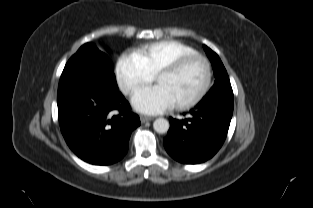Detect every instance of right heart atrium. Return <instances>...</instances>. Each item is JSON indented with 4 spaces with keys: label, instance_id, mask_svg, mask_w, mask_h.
I'll use <instances>...</instances> for the list:
<instances>
[{
    "label": "right heart atrium",
    "instance_id": "obj_1",
    "mask_svg": "<svg viewBox=\"0 0 313 208\" xmlns=\"http://www.w3.org/2000/svg\"><path fill=\"white\" fill-rule=\"evenodd\" d=\"M115 75L119 88L125 94L134 92L154 79V75L135 54H124L118 59Z\"/></svg>",
    "mask_w": 313,
    "mask_h": 208
}]
</instances>
